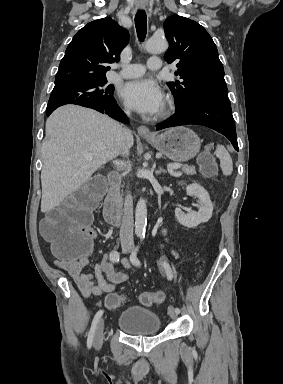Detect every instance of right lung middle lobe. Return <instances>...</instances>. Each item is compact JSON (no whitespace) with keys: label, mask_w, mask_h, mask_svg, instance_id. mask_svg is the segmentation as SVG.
I'll use <instances>...</instances> for the list:
<instances>
[{"label":"right lung middle lobe","mask_w":283,"mask_h":384,"mask_svg":"<svg viewBox=\"0 0 283 384\" xmlns=\"http://www.w3.org/2000/svg\"><path fill=\"white\" fill-rule=\"evenodd\" d=\"M106 83L107 79H102L55 87L47 107L55 108L65 104L79 105L114 99V86Z\"/></svg>","instance_id":"dd1d6c3e"}]
</instances>
